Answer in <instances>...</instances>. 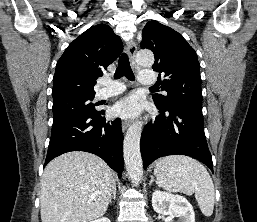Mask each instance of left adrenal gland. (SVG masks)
Here are the masks:
<instances>
[{
    "label": "left adrenal gland",
    "mask_w": 257,
    "mask_h": 222,
    "mask_svg": "<svg viewBox=\"0 0 257 222\" xmlns=\"http://www.w3.org/2000/svg\"><path fill=\"white\" fill-rule=\"evenodd\" d=\"M154 181H155V180H154V176L151 175V180H150V182H149V185H151ZM156 183H157V182H156Z\"/></svg>",
    "instance_id": "1"
}]
</instances>
